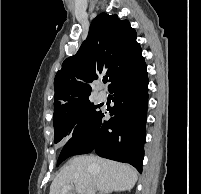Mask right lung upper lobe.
<instances>
[{"mask_svg": "<svg viewBox=\"0 0 201 194\" xmlns=\"http://www.w3.org/2000/svg\"><path fill=\"white\" fill-rule=\"evenodd\" d=\"M141 53L136 31L128 20L99 14L91 23L86 41L74 56L63 62L55 76L54 119L71 113L89 100L90 83L98 74L105 72L112 84L135 67L142 58Z\"/></svg>", "mask_w": 201, "mask_h": 194, "instance_id": "cb5924a9", "label": "right lung upper lobe"}]
</instances>
